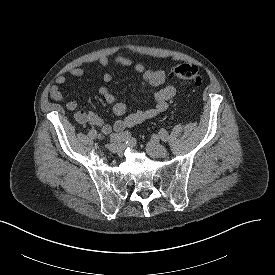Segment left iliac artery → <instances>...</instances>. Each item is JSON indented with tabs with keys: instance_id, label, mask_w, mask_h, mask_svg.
Returning <instances> with one entry per match:
<instances>
[{
	"instance_id": "left-iliac-artery-1",
	"label": "left iliac artery",
	"mask_w": 275,
	"mask_h": 275,
	"mask_svg": "<svg viewBox=\"0 0 275 275\" xmlns=\"http://www.w3.org/2000/svg\"><path fill=\"white\" fill-rule=\"evenodd\" d=\"M159 136H160L161 140L164 142H166L168 140V133L164 129H161L159 131Z\"/></svg>"
}]
</instances>
